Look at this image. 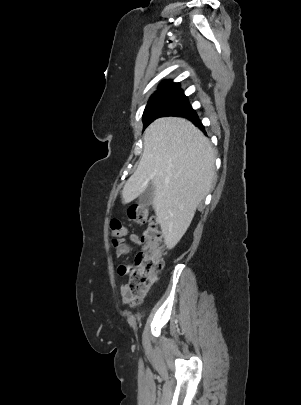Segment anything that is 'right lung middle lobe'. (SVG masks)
I'll use <instances>...</instances> for the list:
<instances>
[{"label":"right lung middle lobe","mask_w":301,"mask_h":405,"mask_svg":"<svg viewBox=\"0 0 301 405\" xmlns=\"http://www.w3.org/2000/svg\"><path fill=\"white\" fill-rule=\"evenodd\" d=\"M191 111L193 109L182 90L152 96L144 110V128L159 117L180 116Z\"/></svg>","instance_id":"right-lung-middle-lobe-1"}]
</instances>
